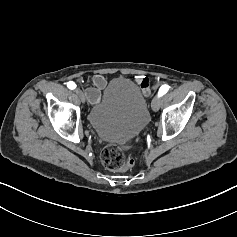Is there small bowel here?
Wrapping results in <instances>:
<instances>
[{
	"instance_id": "1",
	"label": "small bowel",
	"mask_w": 237,
	"mask_h": 237,
	"mask_svg": "<svg viewBox=\"0 0 237 237\" xmlns=\"http://www.w3.org/2000/svg\"><path fill=\"white\" fill-rule=\"evenodd\" d=\"M137 83L141 86L144 93L150 92L149 80L147 77L138 76ZM107 80L101 74H96L88 79L85 85V95L89 102L97 103L101 97V91L106 87Z\"/></svg>"
}]
</instances>
